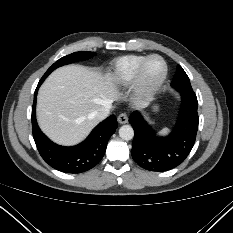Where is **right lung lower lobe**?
<instances>
[{"label": "right lung lower lobe", "mask_w": 233, "mask_h": 233, "mask_svg": "<svg viewBox=\"0 0 233 233\" xmlns=\"http://www.w3.org/2000/svg\"><path fill=\"white\" fill-rule=\"evenodd\" d=\"M44 80L38 83L32 107V132L40 155L48 165L65 173H81L93 168L103 158L108 140L118 127L115 115L97 125L82 143L73 147L57 145L41 132L36 121V96Z\"/></svg>", "instance_id": "obj_1"}]
</instances>
